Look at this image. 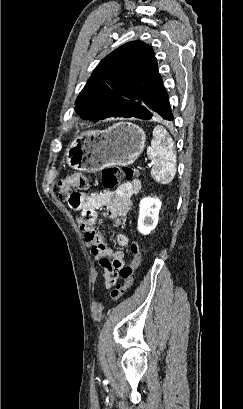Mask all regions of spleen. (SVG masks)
<instances>
[{
	"instance_id": "obj_1",
	"label": "spleen",
	"mask_w": 243,
	"mask_h": 409,
	"mask_svg": "<svg viewBox=\"0 0 243 409\" xmlns=\"http://www.w3.org/2000/svg\"><path fill=\"white\" fill-rule=\"evenodd\" d=\"M149 159L153 162L151 176L158 183H170L176 174V155L173 139L162 126L153 130L151 146L147 149Z\"/></svg>"
}]
</instances>
